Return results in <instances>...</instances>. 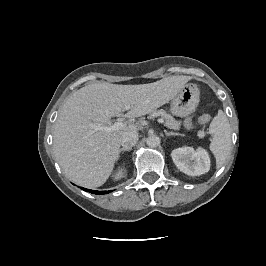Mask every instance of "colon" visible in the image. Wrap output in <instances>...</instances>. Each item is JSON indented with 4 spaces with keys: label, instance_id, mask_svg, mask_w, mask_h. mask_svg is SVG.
Wrapping results in <instances>:
<instances>
[{
    "label": "colon",
    "instance_id": "5ec220e1",
    "mask_svg": "<svg viewBox=\"0 0 266 266\" xmlns=\"http://www.w3.org/2000/svg\"><path fill=\"white\" fill-rule=\"evenodd\" d=\"M209 119H210V118H209V115L204 114V115H202V116L198 119V122H199L200 124H205V123H207V122L209 121ZM184 124H185V127H187V128H193L194 125H195V123H194V121H193L192 118H187V119L185 120Z\"/></svg>",
    "mask_w": 266,
    "mask_h": 266
}]
</instances>
